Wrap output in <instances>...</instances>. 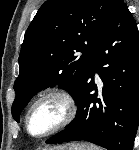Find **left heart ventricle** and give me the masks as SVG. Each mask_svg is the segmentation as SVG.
I'll list each match as a JSON object with an SVG mask.
<instances>
[{
  "instance_id": "obj_1",
  "label": "left heart ventricle",
  "mask_w": 139,
  "mask_h": 150,
  "mask_svg": "<svg viewBox=\"0 0 139 150\" xmlns=\"http://www.w3.org/2000/svg\"><path fill=\"white\" fill-rule=\"evenodd\" d=\"M65 113L60 100L49 98L40 102L30 116V131L34 135H41L52 129L63 118Z\"/></svg>"
}]
</instances>
